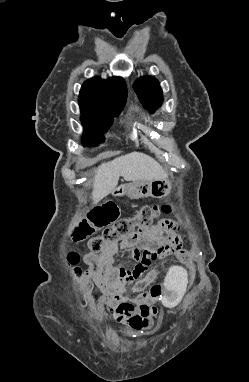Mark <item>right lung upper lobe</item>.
I'll return each mask as SVG.
<instances>
[{
	"instance_id": "obj_1",
	"label": "right lung upper lobe",
	"mask_w": 249,
	"mask_h": 382,
	"mask_svg": "<svg viewBox=\"0 0 249 382\" xmlns=\"http://www.w3.org/2000/svg\"><path fill=\"white\" fill-rule=\"evenodd\" d=\"M127 97V87L120 77L107 80L92 78L84 82L80 90L81 108L98 107L109 111L121 110Z\"/></svg>"
}]
</instances>
